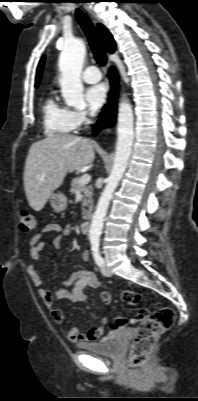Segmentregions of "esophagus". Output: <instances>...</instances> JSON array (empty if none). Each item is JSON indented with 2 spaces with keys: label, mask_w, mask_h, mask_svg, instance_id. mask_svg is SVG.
<instances>
[{
  "label": "esophagus",
  "mask_w": 198,
  "mask_h": 401,
  "mask_svg": "<svg viewBox=\"0 0 198 401\" xmlns=\"http://www.w3.org/2000/svg\"><path fill=\"white\" fill-rule=\"evenodd\" d=\"M111 65H112V64H111V62H110V61H108V62H107V65H106V68H107V70H109V69H110Z\"/></svg>",
  "instance_id": "esophagus-1"
}]
</instances>
